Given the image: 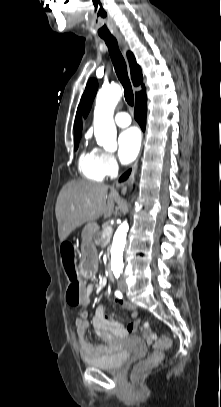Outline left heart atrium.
<instances>
[{
    "label": "left heart atrium",
    "mask_w": 221,
    "mask_h": 407,
    "mask_svg": "<svg viewBox=\"0 0 221 407\" xmlns=\"http://www.w3.org/2000/svg\"><path fill=\"white\" fill-rule=\"evenodd\" d=\"M141 137L136 128L124 130L118 138V155L120 160L127 164L132 162L140 150Z\"/></svg>",
    "instance_id": "39dd6f15"
}]
</instances>
